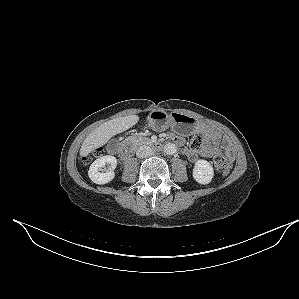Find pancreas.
<instances>
[{
	"mask_svg": "<svg viewBox=\"0 0 299 299\" xmlns=\"http://www.w3.org/2000/svg\"><path fill=\"white\" fill-rule=\"evenodd\" d=\"M132 140L137 144L149 142V139L147 137H143L141 135L132 137Z\"/></svg>",
	"mask_w": 299,
	"mask_h": 299,
	"instance_id": "pancreas-1",
	"label": "pancreas"
}]
</instances>
